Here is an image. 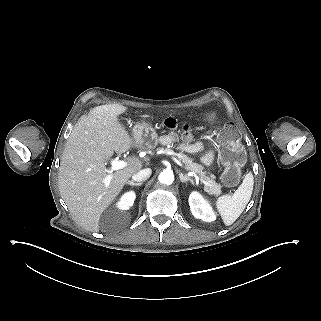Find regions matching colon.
<instances>
[{
	"label": "colon",
	"instance_id": "colon-1",
	"mask_svg": "<svg viewBox=\"0 0 321 321\" xmlns=\"http://www.w3.org/2000/svg\"><path fill=\"white\" fill-rule=\"evenodd\" d=\"M164 125L170 130L181 128L186 135H190L194 130L192 122H179L175 117H167L164 120ZM221 139L225 144V148L220 154V159L225 166L222 179L226 184L232 185L239 179L241 174L244 151L239 141L238 130L234 125L227 124L224 126Z\"/></svg>",
	"mask_w": 321,
	"mask_h": 321
}]
</instances>
